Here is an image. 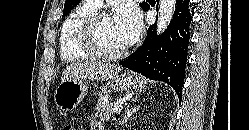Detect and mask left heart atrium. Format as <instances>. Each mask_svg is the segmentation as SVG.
<instances>
[{"instance_id":"39dd6f15","label":"left heart atrium","mask_w":249,"mask_h":130,"mask_svg":"<svg viewBox=\"0 0 249 130\" xmlns=\"http://www.w3.org/2000/svg\"><path fill=\"white\" fill-rule=\"evenodd\" d=\"M115 18L123 32L127 44L137 40L142 30V18L139 10L130 2L122 3Z\"/></svg>"}]
</instances>
